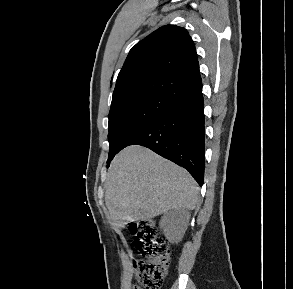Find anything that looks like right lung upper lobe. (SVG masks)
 Returning a JSON list of instances; mask_svg holds the SVG:
<instances>
[{"mask_svg": "<svg viewBox=\"0 0 293 289\" xmlns=\"http://www.w3.org/2000/svg\"><path fill=\"white\" fill-rule=\"evenodd\" d=\"M202 91L194 42L186 29L165 25L137 43L119 72L112 104L156 95L174 104Z\"/></svg>", "mask_w": 293, "mask_h": 289, "instance_id": "cb5924a9", "label": "right lung upper lobe"}]
</instances>
